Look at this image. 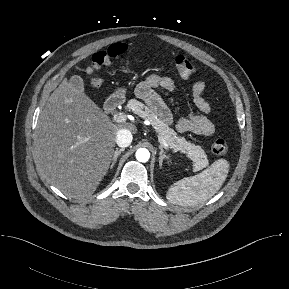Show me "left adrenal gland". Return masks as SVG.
<instances>
[{"label":"left adrenal gland","instance_id":"1","mask_svg":"<svg viewBox=\"0 0 289 289\" xmlns=\"http://www.w3.org/2000/svg\"><path fill=\"white\" fill-rule=\"evenodd\" d=\"M160 156H159V166L162 168V163L164 159H168V156L166 155L165 151L163 148L160 146Z\"/></svg>","mask_w":289,"mask_h":289}]
</instances>
